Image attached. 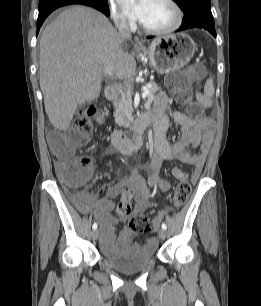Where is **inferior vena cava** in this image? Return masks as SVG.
<instances>
[{"instance_id":"obj_1","label":"inferior vena cava","mask_w":261,"mask_h":306,"mask_svg":"<svg viewBox=\"0 0 261 306\" xmlns=\"http://www.w3.org/2000/svg\"><path fill=\"white\" fill-rule=\"evenodd\" d=\"M115 26L118 29V33L122 40L131 39V32L128 25V22L123 17H116L114 18ZM104 73L109 76L113 77L115 70H114V60H111L109 63L106 64Z\"/></svg>"}]
</instances>
